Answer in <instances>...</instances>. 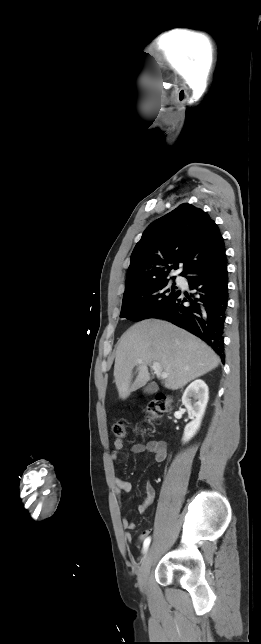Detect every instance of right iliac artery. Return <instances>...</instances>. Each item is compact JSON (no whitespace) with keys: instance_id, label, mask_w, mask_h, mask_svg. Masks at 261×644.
Wrapping results in <instances>:
<instances>
[{"instance_id":"1","label":"right iliac artery","mask_w":261,"mask_h":644,"mask_svg":"<svg viewBox=\"0 0 261 644\" xmlns=\"http://www.w3.org/2000/svg\"><path fill=\"white\" fill-rule=\"evenodd\" d=\"M150 542H151V537H148V538L145 539V541L143 543V552L144 553L147 551Z\"/></svg>"}]
</instances>
